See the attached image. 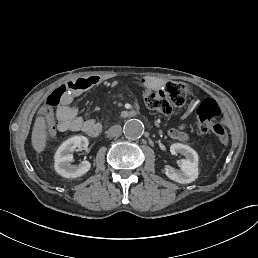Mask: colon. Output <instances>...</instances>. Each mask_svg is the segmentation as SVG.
Segmentation results:
<instances>
[{"mask_svg":"<svg viewBox=\"0 0 258 258\" xmlns=\"http://www.w3.org/2000/svg\"><path fill=\"white\" fill-rule=\"evenodd\" d=\"M73 89L72 84L64 83L49 95L42 112L46 120H49L54 111L67 101ZM190 93L191 89L185 83L170 81L161 89L149 90L145 100L152 110L161 115H169L186 103ZM219 114L220 109L215 100L210 98L203 100L197 107L198 122L195 130L201 134L211 131L223 145H227L229 136L226 128L223 124L214 122Z\"/></svg>","mask_w":258,"mask_h":258,"instance_id":"1","label":"colon"}]
</instances>
